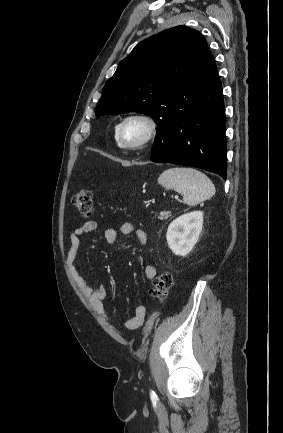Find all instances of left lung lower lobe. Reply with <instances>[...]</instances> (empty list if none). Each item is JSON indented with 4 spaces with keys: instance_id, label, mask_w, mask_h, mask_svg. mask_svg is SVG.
<instances>
[{
    "instance_id": "0a47b994",
    "label": "left lung lower lobe",
    "mask_w": 283,
    "mask_h": 433,
    "mask_svg": "<svg viewBox=\"0 0 283 433\" xmlns=\"http://www.w3.org/2000/svg\"><path fill=\"white\" fill-rule=\"evenodd\" d=\"M195 98L189 113L157 129L151 160L202 168L226 179L225 109L213 56L197 79Z\"/></svg>"
}]
</instances>
